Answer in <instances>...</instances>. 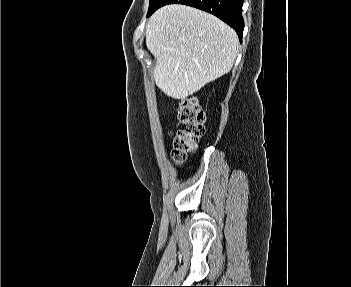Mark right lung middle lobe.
Here are the masks:
<instances>
[{"label":"right lung middle lobe","mask_w":351,"mask_h":287,"mask_svg":"<svg viewBox=\"0 0 351 287\" xmlns=\"http://www.w3.org/2000/svg\"><path fill=\"white\" fill-rule=\"evenodd\" d=\"M160 1H161V0H150L148 15L154 10V8L156 7V5H157Z\"/></svg>","instance_id":"1"}]
</instances>
